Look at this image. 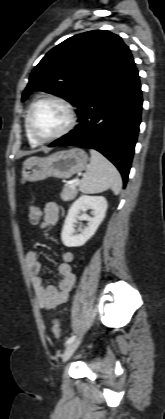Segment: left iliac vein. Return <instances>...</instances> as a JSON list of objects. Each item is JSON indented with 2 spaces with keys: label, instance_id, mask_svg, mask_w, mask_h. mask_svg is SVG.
<instances>
[{
  "label": "left iliac vein",
  "instance_id": "4c4485c4",
  "mask_svg": "<svg viewBox=\"0 0 165 419\" xmlns=\"http://www.w3.org/2000/svg\"><path fill=\"white\" fill-rule=\"evenodd\" d=\"M81 340H74L73 342H71L70 344H68V346L66 347L63 355H62V362L66 363L71 356L73 355V353L76 351V349L78 348V346L80 345Z\"/></svg>",
  "mask_w": 165,
  "mask_h": 419
}]
</instances>
